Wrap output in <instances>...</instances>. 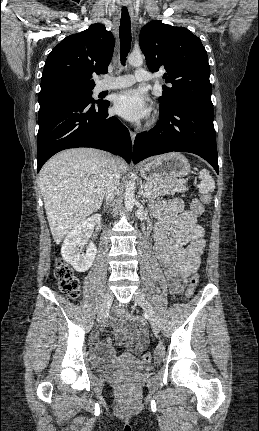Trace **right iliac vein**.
Masks as SVG:
<instances>
[{
    "label": "right iliac vein",
    "mask_w": 259,
    "mask_h": 431,
    "mask_svg": "<svg viewBox=\"0 0 259 431\" xmlns=\"http://www.w3.org/2000/svg\"><path fill=\"white\" fill-rule=\"evenodd\" d=\"M112 302H113V294H112V292L108 291L105 294L103 302H102L100 309L98 311V322H101L103 320L106 313L110 309Z\"/></svg>",
    "instance_id": "1"
}]
</instances>
